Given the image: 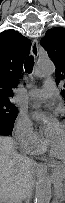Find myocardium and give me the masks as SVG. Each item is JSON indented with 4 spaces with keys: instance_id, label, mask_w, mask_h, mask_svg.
Returning a JSON list of instances; mask_svg holds the SVG:
<instances>
[{
    "instance_id": "f54148a6",
    "label": "myocardium",
    "mask_w": 65,
    "mask_h": 203,
    "mask_svg": "<svg viewBox=\"0 0 65 203\" xmlns=\"http://www.w3.org/2000/svg\"><path fill=\"white\" fill-rule=\"evenodd\" d=\"M46 143H47V147H48L49 153H50L53 157H56V158H64V157H65V153H58V152L55 150V148H54V146H53V144H52V142L50 141L49 138L47 139Z\"/></svg>"
}]
</instances>
